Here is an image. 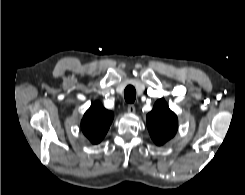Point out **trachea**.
<instances>
[{"instance_id": "trachea-1", "label": "trachea", "mask_w": 245, "mask_h": 195, "mask_svg": "<svg viewBox=\"0 0 245 195\" xmlns=\"http://www.w3.org/2000/svg\"><path fill=\"white\" fill-rule=\"evenodd\" d=\"M124 98L127 103H133L136 99V90L132 85H129L124 90Z\"/></svg>"}]
</instances>
